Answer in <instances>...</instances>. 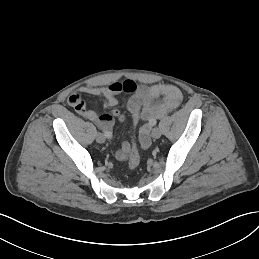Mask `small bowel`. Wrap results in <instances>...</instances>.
<instances>
[{
    "label": "small bowel",
    "mask_w": 259,
    "mask_h": 259,
    "mask_svg": "<svg viewBox=\"0 0 259 259\" xmlns=\"http://www.w3.org/2000/svg\"><path fill=\"white\" fill-rule=\"evenodd\" d=\"M101 97L104 107L110 109V113L98 114L86 107L80 94ZM79 93H73L68 97V103L85 119L93 121L98 127L109 131L114 125L115 119L124 121L125 116L115 106L118 103L117 95L120 93H133L134 95L125 103L126 109L134 113L139 111L140 118L144 121L139 132V143L143 150L151 145L150 131L157 119L164 117L170 111L176 109L183 100L180 89L171 84L137 85L132 80L114 82L106 86L85 85L79 88ZM143 100V105L138 109V100ZM110 132V131H109ZM130 145L123 143L115 152L118 160H125L130 153Z\"/></svg>",
    "instance_id": "c3829d8e"
}]
</instances>
